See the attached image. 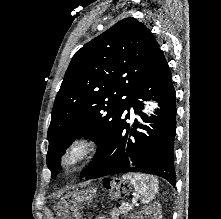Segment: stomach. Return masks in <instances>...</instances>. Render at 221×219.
Wrapping results in <instances>:
<instances>
[{
  "instance_id": "obj_1",
  "label": "stomach",
  "mask_w": 221,
  "mask_h": 219,
  "mask_svg": "<svg viewBox=\"0 0 221 219\" xmlns=\"http://www.w3.org/2000/svg\"><path fill=\"white\" fill-rule=\"evenodd\" d=\"M119 182V178H96V183H113L112 186H102V191H109V194H96V199H119L120 195H126V190H120ZM79 195H88V190H79ZM68 199H78V194H68Z\"/></svg>"
}]
</instances>
